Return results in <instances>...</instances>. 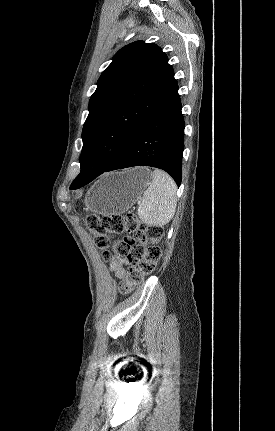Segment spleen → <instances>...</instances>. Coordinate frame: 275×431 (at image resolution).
<instances>
[{
  "mask_svg": "<svg viewBox=\"0 0 275 431\" xmlns=\"http://www.w3.org/2000/svg\"><path fill=\"white\" fill-rule=\"evenodd\" d=\"M176 190L174 180L164 171L156 169L152 182L144 191L137 209L139 218L152 226H164L170 222L176 211Z\"/></svg>",
  "mask_w": 275,
  "mask_h": 431,
  "instance_id": "1",
  "label": "spleen"
}]
</instances>
